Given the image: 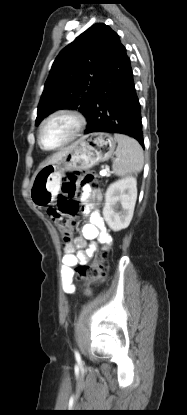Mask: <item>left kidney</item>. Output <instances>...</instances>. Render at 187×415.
Segmentation results:
<instances>
[{
    "instance_id": "1",
    "label": "left kidney",
    "mask_w": 187,
    "mask_h": 415,
    "mask_svg": "<svg viewBox=\"0 0 187 415\" xmlns=\"http://www.w3.org/2000/svg\"><path fill=\"white\" fill-rule=\"evenodd\" d=\"M137 200V180L126 177L110 184L105 193L103 217L113 231L129 226Z\"/></svg>"
}]
</instances>
